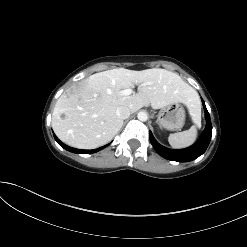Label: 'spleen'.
I'll list each match as a JSON object with an SVG mask.
<instances>
[{
  "mask_svg": "<svg viewBox=\"0 0 247 247\" xmlns=\"http://www.w3.org/2000/svg\"><path fill=\"white\" fill-rule=\"evenodd\" d=\"M190 115L192 116V120L195 123L190 129L170 134L168 137L169 144L175 149L186 148L192 145L197 137V128L196 126L201 122V107L198 99V104L191 107Z\"/></svg>",
  "mask_w": 247,
  "mask_h": 247,
  "instance_id": "spleen-1",
  "label": "spleen"
}]
</instances>
